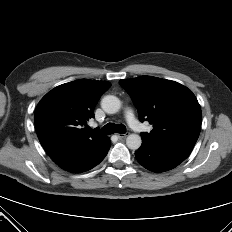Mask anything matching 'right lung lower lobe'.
Returning a JSON list of instances; mask_svg holds the SVG:
<instances>
[{
  "mask_svg": "<svg viewBox=\"0 0 232 232\" xmlns=\"http://www.w3.org/2000/svg\"><path fill=\"white\" fill-rule=\"evenodd\" d=\"M109 148H110V141L107 144V146L104 147L99 152L86 156L73 157L58 163V165L62 169L72 173L85 172L87 170L92 169L97 164H99L107 155Z\"/></svg>",
  "mask_w": 232,
  "mask_h": 232,
  "instance_id": "right-lung-lower-lobe-1",
  "label": "right lung lower lobe"
}]
</instances>
